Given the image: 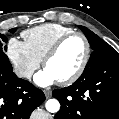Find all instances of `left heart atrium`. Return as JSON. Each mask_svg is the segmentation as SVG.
<instances>
[{
	"label": "left heart atrium",
	"mask_w": 119,
	"mask_h": 119,
	"mask_svg": "<svg viewBox=\"0 0 119 119\" xmlns=\"http://www.w3.org/2000/svg\"><path fill=\"white\" fill-rule=\"evenodd\" d=\"M34 80L40 86H48L53 84L56 78L45 68L35 75Z\"/></svg>",
	"instance_id": "1"
}]
</instances>
